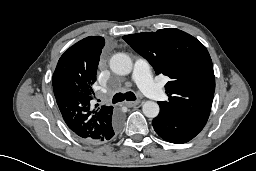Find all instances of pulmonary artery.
<instances>
[{
    "label": "pulmonary artery",
    "instance_id": "1",
    "mask_svg": "<svg viewBox=\"0 0 256 171\" xmlns=\"http://www.w3.org/2000/svg\"><path fill=\"white\" fill-rule=\"evenodd\" d=\"M133 79L139 88L155 101H161L164 93L153 81L148 62L144 59L136 60L134 64Z\"/></svg>",
    "mask_w": 256,
    "mask_h": 171
}]
</instances>
